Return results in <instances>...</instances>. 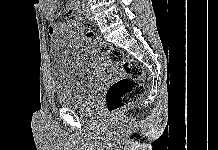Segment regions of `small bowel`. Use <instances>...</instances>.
<instances>
[{"label": "small bowel", "instance_id": "small-bowel-1", "mask_svg": "<svg viewBox=\"0 0 218 150\" xmlns=\"http://www.w3.org/2000/svg\"><path fill=\"white\" fill-rule=\"evenodd\" d=\"M42 8L45 17L52 21L49 24L48 31L50 35H55L59 33L68 32L70 30L69 24L64 22H53L56 17V0H43ZM67 11L69 13H75L77 11V6L75 0H68Z\"/></svg>", "mask_w": 218, "mask_h": 150}]
</instances>
